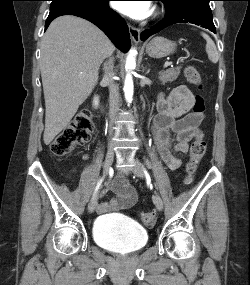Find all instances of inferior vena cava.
<instances>
[{"mask_svg":"<svg viewBox=\"0 0 250 285\" xmlns=\"http://www.w3.org/2000/svg\"><path fill=\"white\" fill-rule=\"evenodd\" d=\"M112 63L113 60L110 59L108 64L105 65V75L103 77V80L107 83L109 87V114L111 123L113 122V119L119 108V89L118 85L114 82L113 79L114 73Z\"/></svg>","mask_w":250,"mask_h":285,"instance_id":"obj_1","label":"inferior vena cava"}]
</instances>
